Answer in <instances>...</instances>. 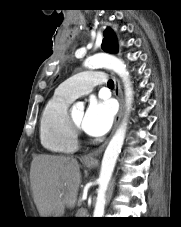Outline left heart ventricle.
<instances>
[{"mask_svg": "<svg viewBox=\"0 0 181 227\" xmlns=\"http://www.w3.org/2000/svg\"><path fill=\"white\" fill-rule=\"evenodd\" d=\"M71 116L75 123H77L79 126L82 124V120L84 117V112L82 110H77L71 113Z\"/></svg>", "mask_w": 181, "mask_h": 227, "instance_id": "obj_1", "label": "left heart ventricle"}]
</instances>
